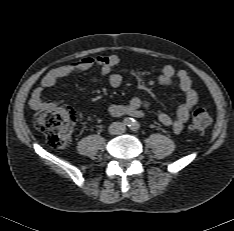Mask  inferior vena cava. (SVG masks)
<instances>
[{
    "mask_svg": "<svg viewBox=\"0 0 234 231\" xmlns=\"http://www.w3.org/2000/svg\"><path fill=\"white\" fill-rule=\"evenodd\" d=\"M125 131V125L121 122H113L109 126V132L113 135H120Z\"/></svg>",
    "mask_w": 234,
    "mask_h": 231,
    "instance_id": "602c4592",
    "label": "inferior vena cava"
}]
</instances>
